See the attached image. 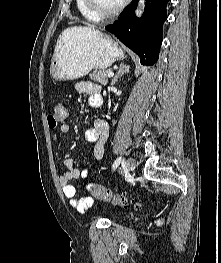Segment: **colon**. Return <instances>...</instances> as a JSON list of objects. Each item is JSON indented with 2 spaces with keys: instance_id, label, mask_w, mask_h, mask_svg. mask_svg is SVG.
Wrapping results in <instances>:
<instances>
[{
  "instance_id": "1",
  "label": "colon",
  "mask_w": 221,
  "mask_h": 263,
  "mask_svg": "<svg viewBox=\"0 0 221 263\" xmlns=\"http://www.w3.org/2000/svg\"><path fill=\"white\" fill-rule=\"evenodd\" d=\"M66 117V107L62 103L56 104L49 112L47 121L50 128H56ZM89 191L94 197L104 202H109L114 205L128 206L133 205L138 207L134 201L128 200L125 196L115 194L111 190L101 187L96 184H89Z\"/></svg>"
}]
</instances>
